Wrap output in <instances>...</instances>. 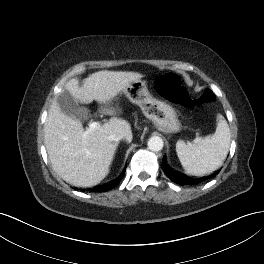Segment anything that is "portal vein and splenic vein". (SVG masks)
Wrapping results in <instances>:
<instances>
[{"label": "portal vein and splenic vein", "mask_w": 264, "mask_h": 264, "mask_svg": "<svg viewBox=\"0 0 264 264\" xmlns=\"http://www.w3.org/2000/svg\"><path fill=\"white\" fill-rule=\"evenodd\" d=\"M99 127H100V125L98 122L89 123V128L84 132V136H87L88 134H90L94 130L98 129Z\"/></svg>", "instance_id": "18ae733b"}]
</instances>
